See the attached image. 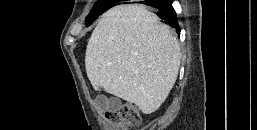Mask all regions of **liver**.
<instances>
[{"label": "liver", "mask_w": 257, "mask_h": 130, "mask_svg": "<svg viewBox=\"0 0 257 130\" xmlns=\"http://www.w3.org/2000/svg\"><path fill=\"white\" fill-rule=\"evenodd\" d=\"M180 62L174 30L140 4L118 5L103 14L85 55L94 88L134 103L144 114L166 100Z\"/></svg>", "instance_id": "6515ba94"}]
</instances>
